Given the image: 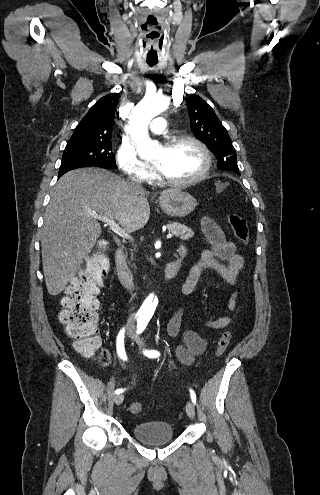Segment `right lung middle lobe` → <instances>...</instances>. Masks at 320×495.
<instances>
[{"label":"right lung middle lobe","instance_id":"right-lung-middle-lobe-1","mask_svg":"<svg viewBox=\"0 0 320 495\" xmlns=\"http://www.w3.org/2000/svg\"><path fill=\"white\" fill-rule=\"evenodd\" d=\"M111 142H68L64 150L58 176L88 166L116 168Z\"/></svg>","mask_w":320,"mask_h":495}]
</instances>
